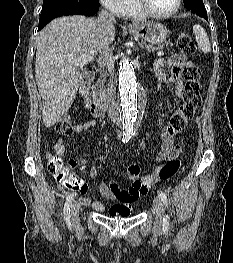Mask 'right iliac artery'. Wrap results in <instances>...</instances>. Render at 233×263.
Returning <instances> with one entry per match:
<instances>
[{"label":"right iliac artery","instance_id":"right-iliac-artery-1","mask_svg":"<svg viewBox=\"0 0 233 263\" xmlns=\"http://www.w3.org/2000/svg\"><path fill=\"white\" fill-rule=\"evenodd\" d=\"M131 138V133L129 132H126L123 134V139H122V142L123 143H127ZM76 196L75 193H72L68 196V198L66 199V202H65V205H64V210H63V213H64V220L66 222V224L68 226L71 225V220H70V206H71V203H72V200L73 198Z\"/></svg>","mask_w":233,"mask_h":263}]
</instances>
